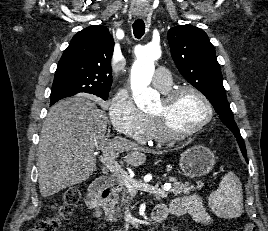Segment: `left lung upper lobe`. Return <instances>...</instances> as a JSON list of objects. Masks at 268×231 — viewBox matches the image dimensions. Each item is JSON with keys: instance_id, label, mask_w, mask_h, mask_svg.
Masks as SVG:
<instances>
[{"instance_id": "5c2ea615", "label": "left lung upper lobe", "mask_w": 268, "mask_h": 231, "mask_svg": "<svg viewBox=\"0 0 268 231\" xmlns=\"http://www.w3.org/2000/svg\"><path fill=\"white\" fill-rule=\"evenodd\" d=\"M168 41L181 75L208 98L221 121L235 135L240 149L246 150L226 98L215 49L207 34L192 25H178L168 31Z\"/></svg>"}]
</instances>
